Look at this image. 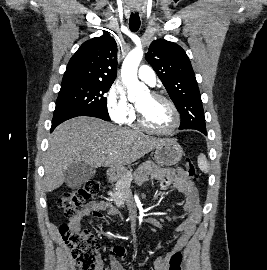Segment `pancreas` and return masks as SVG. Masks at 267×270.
<instances>
[{
	"label": "pancreas",
	"instance_id": "1",
	"mask_svg": "<svg viewBox=\"0 0 267 270\" xmlns=\"http://www.w3.org/2000/svg\"><path fill=\"white\" fill-rule=\"evenodd\" d=\"M133 180L132 170L126 172L122 177L117 180L115 189L108 192L111 200L115 203H122L125 201H131V182Z\"/></svg>",
	"mask_w": 267,
	"mask_h": 270
}]
</instances>
